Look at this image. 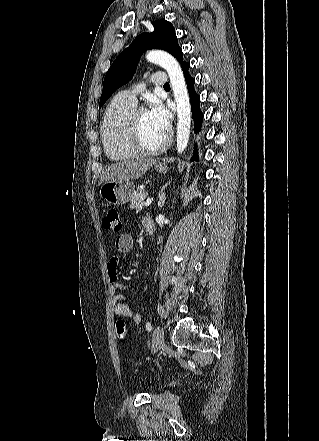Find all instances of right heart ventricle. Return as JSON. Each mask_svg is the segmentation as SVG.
Here are the masks:
<instances>
[{
    "label": "right heart ventricle",
    "instance_id": "obj_1",
    "mask_svg": "<svg viewBox=\"0 0 319 441\" xmlns=\"http://www.w3.org/2000/svg\"><path fill=\"white\" fill-rule=\"evenodd\" d=\"M135 107L136 103L120 94L110 101L104 112L100 134L104 150L111 160L132 159L138 155L128 141L129 118Z\"/></svg>",
    "mask_w": 319,
    "mask_h": 441
}]
</instances>
